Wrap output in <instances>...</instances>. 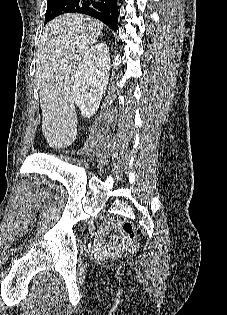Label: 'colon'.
Masks as SVG:
<instances>
[{
    "label": "colon",
    "mask_w": 227,
    "mask_h": 315,
    "mask_svg": "<svg viewBox=\"0 0 227 315\" xmlns=\"http://www.w3.org/2000/svg\"><path fill=\"white\" fill-rule=\"evenodd\" d=\"M119 225L122 233V239L126 243L128 251H136L137 241L134 224L130 220H121Z\"/></svg>",
    "instance_id": "obj_1"
}]
</instances>
